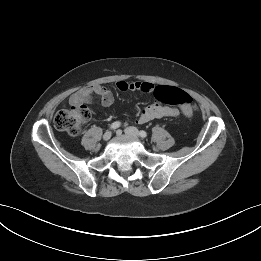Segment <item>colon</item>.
Wrapping results in <instances>:
<instances>
[{
	"label": "colon",
	"instance_id": "1",
	"mask_svg": "<svg viewBox=\"0 0 261 261\" xmlns=\"http://www.w3.org/2000/svg\"><path fill=\"white\" fill-rule=\"evenodd\" d=\"M156 98L166 104L179 106L186 117L193 114L192 98L184 90L176 87H158ZM91 110L86 105H74L58 111L54 117V126L72 136L81 132L83 124L90 118Z\"/></svg>",
	"mask_w": 261,
	"mask_h": 261
}]
</instances>
